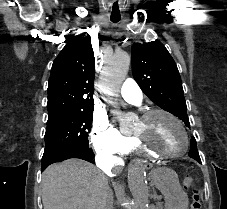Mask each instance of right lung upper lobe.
Here are the masks:
<instances>
[{"label":"right lung upper lobe","instance_id":"cb5924a9","mask_svg":"<svg viewBox=\"0 0 227 209\" xmlns=\"http://www.w3.org/2000/svg\"><path fill=\"white\" fill-rule=\"evenodd\" d=\"M94 53L90 41L77 38L67 43L53 62L47 108L65 98L93 99Z\"/></svg>","mask_w":227,"mask_h":209}]
</instances>
